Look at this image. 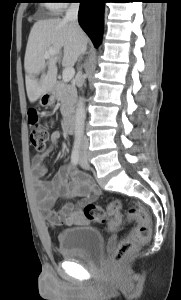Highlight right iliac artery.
I'll use <instances>...</instances> for the list:
<instances>
[{
	"mask_svg": "<svg viewBox=\"0 0 181 300\" xmlns=\"http://www.w3.org/2000/svg\"><path fill=\"white\" fill-rule=\"evenodd\" d=\"M79 145H80V142L78 140H76L74 142V147H73L72 154H71V161L75 166L78 165V163H79Z\"/></svg>",
	"mask_w": 181,
	"mask_h": 300,
	"instance_id": "82829eb1",
	"label": "right iliac artery"
}]
</instances>
